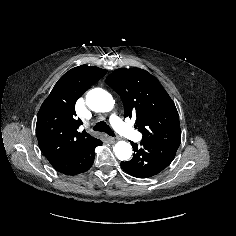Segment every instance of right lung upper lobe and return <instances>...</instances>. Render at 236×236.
Returning a JSON list of instances; mask_svg holds the SVG:
<instances>
[{
	"mask_svg": "<svg viewBox=\"0 0 236 236\" xmlns=\"http://www.w3.org/2000/svg\"><path fill=\"white\" fill-rule=\"evenodd\" d=\"M106 72L88 65L72 68L58 80L41 105L36 136L49 162L74 153L96 140L85 131H77L82 121L75 117V103Z\"/></svg>",
	"mask_w": 236,
	"mask_h": 236,
	"instance_id": "right-lung-upper-lobe-1",
	"label": "right lung upper lobe"
}]
</instances>
